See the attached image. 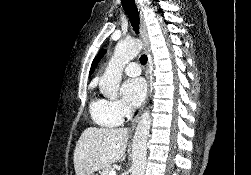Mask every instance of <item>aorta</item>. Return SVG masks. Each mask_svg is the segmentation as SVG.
Returning <instances> with one entry per match:
<instances>
[{"instance_id": "obj_1", "label": "aorta", "mask_w": 251, "mask_h": 175, "mask_svg": "<svg viewBox=\"0 0 251 175\" xmlns=\"http://www.w3.org/2000/svg\"><path fill=\"white\" fill-rule=\"evenodd\" d=\"M140 40L131 42H119L114 54L99 82V89L103 95L115 97L118 93L119 84L122 80V72L137 54L140 52ZM151 115L149 107L141 113L136 127L132 143V175H144L146 169L147 139L150 131Z\"/></svg>"}]
</instances>
